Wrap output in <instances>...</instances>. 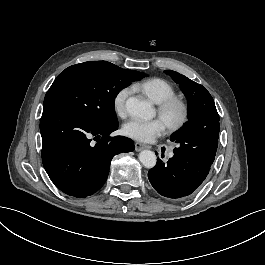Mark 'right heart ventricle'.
I'll return each instance as SVG.
<instances>
[{"label":"right heart ventricle","instance_id":"right-heart-ventricle-1","mask_svg":"<svg viewBox=\"0 0 265 265\" xmlns=\"http://www.w3.org/2000/svg\"><path fill=\"white\" fill-rule=\"evenodd\" d=\"M132 88L156 104H160L165 99L175 95L174 87L161 77L141 79L136 81Z\"/></svg>","mask_w":265,"mask_h":265}]
</instances>
